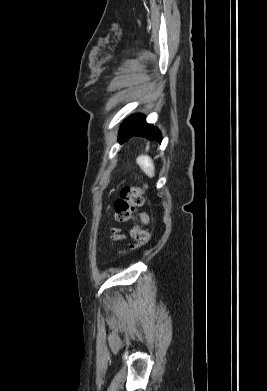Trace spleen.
<instances>
[{
  "instance_id": "spleen-1",
  "label": "spleen",
  "mask_w": 267,
  "mask_h": 391,
  "mask_svg": "<svg viewBox=\"0 0 267 391\" xmlns=\"http://www.w3.org/2000/svg\"><path fill=\"white\" fill-rule=\"evenodd\" d=\"M136 162L148 177L152 178L154 176L155 168L149 156L140 155L137 157Z\"/></svg>"
}]
</instances>
